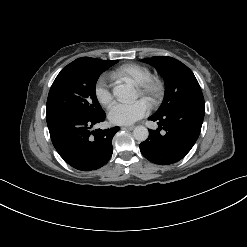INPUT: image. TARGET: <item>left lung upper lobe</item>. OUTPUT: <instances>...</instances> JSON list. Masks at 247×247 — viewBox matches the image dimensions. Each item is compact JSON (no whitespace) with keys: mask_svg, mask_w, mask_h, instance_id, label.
I'll return each mask as SVG.
<instances>
[{"mask_svg":"<svg viewBox=\"0 0 247 247\" xmlns=\"http://www.w3.org/2000/svg\"><path fill=\"white\" fill-rule=\"evenodd\" d=\"M144 61L155 66L165 81L164 100L154 116H163L172 110L186 107L205 108L200 85L186 65L172 57L164 56Z\"/></svg>","mask_w":247,"mask_h":247,"instance_id":"1","label":"left lung upper lobe"}]
</instances>
